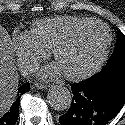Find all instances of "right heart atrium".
Instances as JSON below:
<instances>
[{
	"label": "right heart atrium",
	"instance_id": "1",
	"mask_svg": "<svg viewBox=\"0 0 125 125\" xmlns=\"http://www.w3.org/2000/svg\"><path fill=\"white\" fill-rule=\"evenodd\" d=\"M18 65L24 73H30L48 56V51L38 45L30 31L17 30L11 40Z\"/></svg>",
	"mask_w": 125,
	"mask_h": 125
}]
</instances>
